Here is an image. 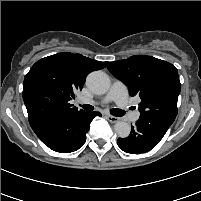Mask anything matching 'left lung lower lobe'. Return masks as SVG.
Segmentation results:
<instances>
[{
  "label": "left lung lower lobe",
  "mask_w": 201,
  "mask_h": 201,
  "mask_svg": "<svg viewBox=\"0 0 201 201\" xmlns=\"http://www.w3.org/2000/svg\"><path fill=\"white\" fill-rule=\"evenodd\" d=\"M170 125L161 120L139 119L127 138L118 139V146L127 153L148 152L160 142Z\"/></svg>",
  "instance_id": "obj_1"
}]
</instances>
